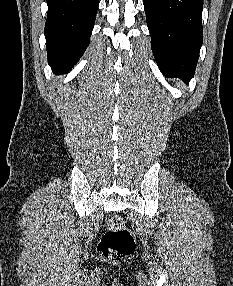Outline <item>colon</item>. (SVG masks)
Segmentation results:
<instances>
[{
  "label": "colon",
  "instance_id": "colon-1",
  "mask_svg": "<svg viewBox=\"0 0 233 286\" xmlns=\"http://www.w3.org/2000/svg\"><path fill=\"white\" fill-rule=\"evenodd\" d=\"M135 239L119 215L107 219L106 231L98 245L100 256L106 260L118 261L133 253Z\"/></svg>",
  "mask_w": 233,
  "mask_h": 286
}]
</instances>
